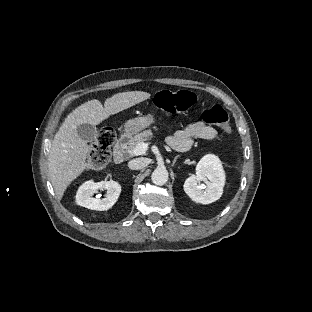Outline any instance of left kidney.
I'll use <instances>...</instances> for the list:
<instances>
[{"mask_svg":"<svg viewBox=\"0 0 312 312\" xmlns=\"http://www.w3.org/2000/svg\"><path fill=\"white\" fill-rule=\"evenodd\" d=\"M225 176L219 159L205 156L196 166V173L184 184V191L200 204H210L218 200L223 191Z\"/></svg>","mask_w":312,"mask_h":312,"instance_id":"1","label":"left kidney"}]
</instances>
